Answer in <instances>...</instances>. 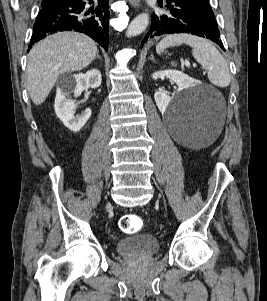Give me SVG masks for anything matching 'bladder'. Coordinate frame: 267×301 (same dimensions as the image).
I'll return each mask as SVG.
<instances>
[{"label": "bladder", "instance_id": "1", "mask_svg": "<svg viewBox=\"0 0 267 301\" xmlns=\"http://www.w3.org/2000/svg\"><path fill=\"white\" fill-rule=\"evenodd\" d=\"M160 242L154 235L138 234L122 238L115 243L114 249L121 255L148 256L156 253Z\"/></svg>", "mask_w": 267, "mask_h": 301}]
</instances>
